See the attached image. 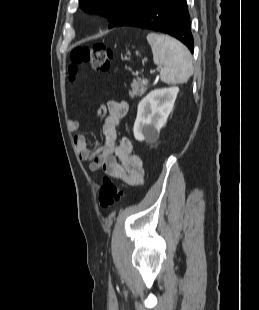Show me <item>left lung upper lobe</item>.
Instances as JSON below:
<instances>
[{
  "instance_id": "obj_1",
  "label": "left lung upper lobe",
  "mask_w": 259,
  "mask_h": 310,
  "mask_svg": "<svg viewBox=\"0 0 259 310\" xmlns=\"http://www.w3.org/2000/svg\"><path fill=\"white\" fill-rule=\"evenodd\" d=\"M150 0H79L82 10L104 16L113 27L123 16Z\"/></svg>"
}]
</instances>
